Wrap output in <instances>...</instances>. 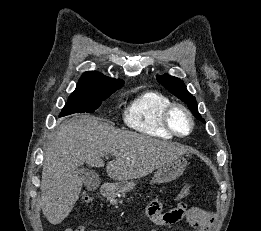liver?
<instances>
[{
    "label": "liver",
    "instance_id": "1",
    "mask_svg": "<svg viewBox=\"0 0 261 231\" xmlns=\"http://www.w3.org/2000/svg\"><path fill=\"white\" fill-rule=\"evenodd\" d=\"M187 148L134 132L116 129L93 116L63 122L45 149L41 181V207L47 220L61 223L78 200L82 180L77 169L84 163L102 167V158L114 159L106 166L110 178L125 183L148 175Z\"/></svg>",
    "mask_w": 261,
    "mask_h": 231
}]
</instances>
